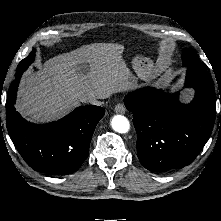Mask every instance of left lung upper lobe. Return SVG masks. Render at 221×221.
Returning a JSON list of instances; mask_svg holds the SVG:
<instances>
[{
    "mask_svg": "<svg viewBox=\"0 0 221 221\" xmlns=\"http://www.w3.org/2000/svg\"><path fill=\"white\" fill-rule=\"evenodd\" d=\"M183 65L186 67L205 69L203 64L200 62L195 51L191 48L185 49L182 55Z\"/></svg>",
    "mask_w": 221,
    "mask_h": 221,
    "instance_id": "obj_1",
    "label": "left lung upper lobe"
}]
</instances>
